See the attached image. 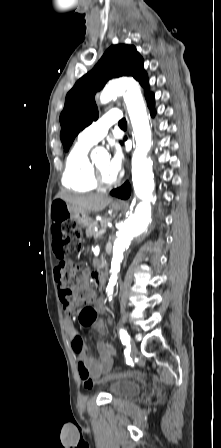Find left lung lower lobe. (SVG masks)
<instances>
[{"mask_svg": "<svg viewBox=\"0 0 221 448\" xmlns=\"http://www.w3.org/2000/svg\"><path fill=\"white\" fill-rule=\"evenodd\" d=\"M145 96L147 98V103L148 106L151 110V115L154 116L155 115V110L153 109L154 107V95L150 94L149 91L145 92ZM130 185L128 182H126L123 186H121L120 188H117L115 190H112L110 192L111 195L121 198V199H127L130 196Z\"/></svg>", "mask_w": 221, "mask_h": 448, "instance_id": "1", "label": "left lung lower lobe"}]
</instances>
